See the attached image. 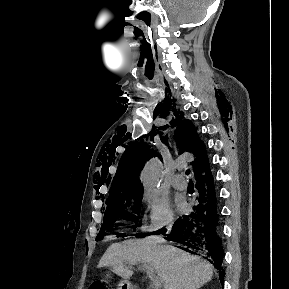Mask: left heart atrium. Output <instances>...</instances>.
<instances>
[{
	"mask_svg": "<svg viewBox=\"0 0 289 289\" xmlns=\"http://www.w3.org/2000/svg\"><path fill=\"white\" fill-rule=\"evenodd\" d=\"M176 206L179 210H183L185 207L184 200L182 198H177L176 199Z\"/></svg>",
	"mask_w": 289,
	"mask_h": 289,
	"instance_id": "obj_1",
	"label": "left heart atrium"
}]
</instances>
